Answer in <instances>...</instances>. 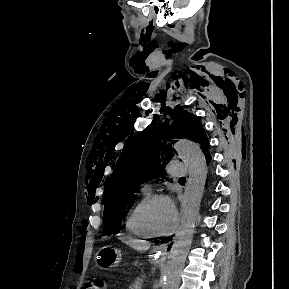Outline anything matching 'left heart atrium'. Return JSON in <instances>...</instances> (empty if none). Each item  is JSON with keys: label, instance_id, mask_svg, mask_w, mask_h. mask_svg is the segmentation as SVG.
I'll use <instances>...</instances> for the list:
<instances>
[{"label": "left heart atrium", "instance_id": "39dd6f15", "mask_svg": "<svg viewBox=\"0 0 289 289\" xmlns=\"http://www.w3.org/2000/svg\"><path fill=\"white\" fill-rule=\"evenodd\" d=\"M170 202V201H169ZM170 206L172 207V209H173V205H172V202H170Z\"/></svg>", "mask_w": 289, "mask_h": 289}]
</instances>
